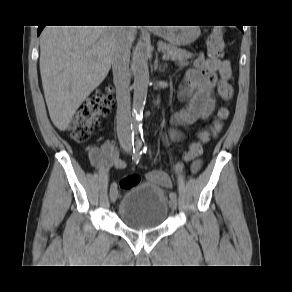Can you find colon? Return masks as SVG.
<instances>
[{"label": "colon", "mask_w": 292, "mask_h": 292, "mask_svg": "<svg viewBox=\"0 0 292 292\" xmlns=\"http://www.w3.org/2000/svg\"><path fill=\"white\" fill-rule=\"evenodd\" d=\"M206 44L210 58H223L225 53L223 29L221 27H216L209 35ZM217 89L220 97L229 104L233 98V87L229 81L221 79L218 82ZM112 107L113 99L110 88L95 92L83 103L70 123L69 129L72 139L76 142L88 140L99 119L106 116ZM229 115L230 108L228 106H223L219 108L216 118L218 120H224L227 119ZM209 138L210 131L208 128L200 130L198 132V140L189 146L188 151L184 154V159L190 161L200 157L203 153V145L209 141ZM139 183V175L130 174L120 181V187L126 190Z\"/></svg>", "instance_id": "colon-1"}]
</instances>
